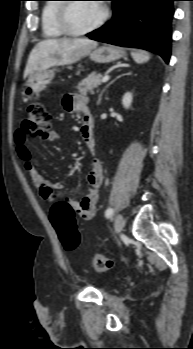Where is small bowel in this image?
Here are the masks:
<instances>
[{"instance_id":"obj_1","label":"small bowel","mask_w":193,"mask_h":349,"mask_svg":"<svg viewBox=\"0 0 193 349\" xmlns=\"http://www.w3.org/2000/svg\"><path fill=\"white\" fill-rule=\"evenodd\" d=\"M87 102L88 100L85 96L77 93L66 94L62 99V106L66 111L80 113L82 115L81 137L85 146L92 154L91 169L86 177L88 192L82 200H78L72 196H64L61 198L59 191L63 188V185L61 183H50L43 178L33 164L32 155L28 148V138L22 129H18L15 133L17 154L22 160L32 183L38 189L41 197L50 205L58 200L68 201L73 206L76 215L83 220H91L95 216L98 192L103 179L102 164L95 155L93 123ZM48 138L58 140L59 136L57 133L51 132Z\"/></svg>"}]
</instances>
